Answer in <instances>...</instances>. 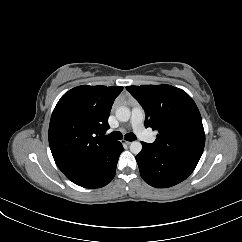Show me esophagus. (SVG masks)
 Here are the masks:
<instances>
[{"label": "esophagus", "mask_w": 242, "mask_h": 242, "mask_svg": "<svg viewBox=\"0 0 242 242\" xmlns=\"http://www.w3.org/2000/svg\"><path fill=\"white\" fill-rule=\"evenodd\" d=\"M122 143L126 144V145H130L132 142L131 141H127L125 139L122 140Z\"/></svg>", "instance_id": "esophagus-1"}]
</instances>
